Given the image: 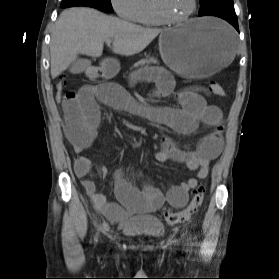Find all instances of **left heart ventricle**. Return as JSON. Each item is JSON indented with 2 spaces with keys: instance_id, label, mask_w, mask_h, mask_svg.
Listing matches in <instances>:
<instances>
[{
  "instance_id": "obj_1",
  "label": "left heart ventricle",
  "mask_w": 279,
  "mask_h": 279,
  "mask_svg": "<svg viewBox=\"0 0 279 279\" xmlns=\"http://www.w3.org/2000/svg\"><path fill=\"white\" fill-rule=\"evenodd\" d=\"M166 14L172 18L184 16L192 6V0H162Z\"/></svg>"
}]
</instances>
